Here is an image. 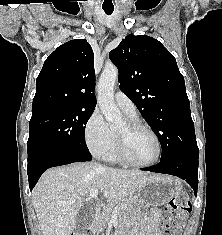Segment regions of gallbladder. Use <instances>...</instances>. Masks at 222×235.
I'll use <instances>...</instances> for the list:
<instances>
[{
	"mask_svg": "<svg viewBox=\"0 0 222 235\" xmlns=\"http://www.w3.org/2000/svg\"><path fill=\"white\" fill-rule=\"evenodd\" d=\"M95 215V205L86 203L81 206L77 215V228L75 235H83L85 228L92 222Z\"/></svg>",
	"mask_w": 222,
	"mask_h": 235,
	"instance_id": "gallbladder-1",
	"label": "gallbladder"
}]
</instances>
